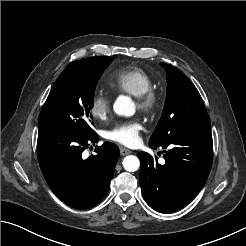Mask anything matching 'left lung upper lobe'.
Here are the masks:
<instances>
[{
	"instance_id": "left-lung-upper-lobe-1",
	"label": "left lung upper lobe",
	"mask_w": 246,
	"mask_h": 246,
	"mask_svg": "<svg viewBox=\"0 0 246 246\" xmlns=\"http://www.w3.org/2000/svg\"><path fill=\"white\" fill-rule=\"evenodd\" d=\"M160 64L167 74V95L149 144L158 147L176 134L210 131V120L196 87L176 67Z\"/></svg>"
}]
</instances>
